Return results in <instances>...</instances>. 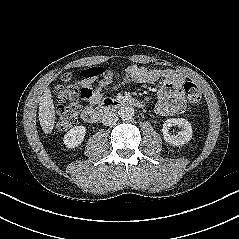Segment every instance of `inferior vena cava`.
<instances>
[{
    "label": "inferior vena cava",
    "instance_id": "602c4592",
    "mask_svg": "<svg viewBox=\"0 0 239 239\" xmlns=\"http://www.w3.org/2000/svg\"><path fill=\"white\" fill-rule=\"evenodd\" d=\"M118 121V116L116 113L113 112H107L104 114L102 118V123L106 126L115 125V123Z\"/></svg>",
    "mask_w": 239,
    "mask_h": 239
}]
</instances>
